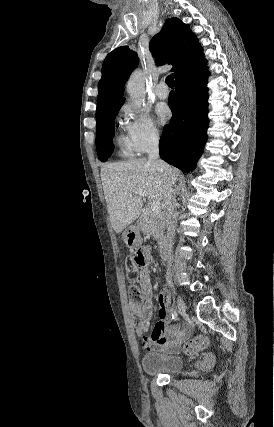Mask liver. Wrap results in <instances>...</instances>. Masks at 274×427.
Here are the masks:
<instances>
[{
    "label": "liver",
    "instance_id": "6515ba94",
    "mask_svg": "<svg viewBox=\"0 0 274 427\" xmlns=\"http://www.w3.org/2000/svg\"><path fill=\"white\" fill-rule=\"evenodd\" d=\"M162 160H128L105 164L101 168V180L111 225L120 233L129 223L137 219L143 208L142 196L135 190H145L148 200L161 202L168 182H176L179 170Z\"/></svg>",
    "mask_w": 274,
    "mask_h": 427
}]
</instances>
